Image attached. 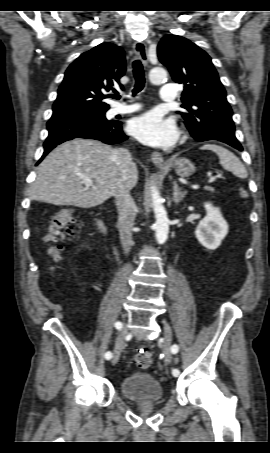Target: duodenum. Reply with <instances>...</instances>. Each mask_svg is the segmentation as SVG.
<instances>
[{
	"label": "duodenum",
	"mask_w": 270,
	"mask_h": 453,
	"mask_svg": "<svg viewBox=\"0 0 270 453\" xmlns=\"http://www.w3.org/2000/svg\"><path fill=\"white\" fill-rule=\"evenodd\" d=\"M97 226H98L99 232L101 233L103 238L108 239L107 227L101 219L97 220Z\"/></svg>",
	"instance_id": "obj_1"
}]
</instances>
